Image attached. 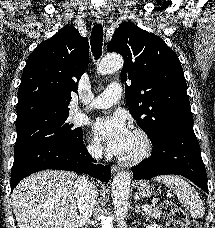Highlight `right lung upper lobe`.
<instances>
[{
	"label": "right lung upper lobe",
	"instance_id": "1",
	"mask_svg": "<svg viewBox=\"0 0 215 228\" xmlns=\"http://www.w3.org/2000/svg\"><path fill=\"white\" fill-rule=\"evenodd\" d=\"M89 62V44L73 26L41 42L29 56L18 89L17 121L69 113L72 92Z\"/></svg>",
	"mask_w": 215,
	"mask_h": 228
}]
</instances>
